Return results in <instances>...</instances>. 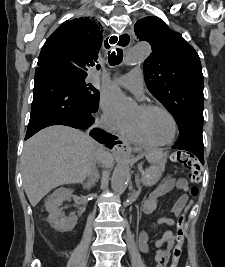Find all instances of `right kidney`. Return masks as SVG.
<instances>
[{"instance_id":"right-kidney-1","label":"right kidney","mask_w":225,"mask_h":267,"mask_svg":"<svg viewBox=\"0 0 225 267\" xmlns=\"http://www.w3.org/2000/svg\"><path fill=\"white\" fill-rule=\"evenodd\" d=\"M72 194L73 190L70 188H58L48 197L45 203L46 210L49 213V223L58 231H71L77 224L78 218L76 215L72 214L66 217L59 209L63 201L71 199Z\"/></svg>"}]
</instances>
